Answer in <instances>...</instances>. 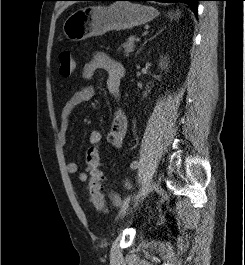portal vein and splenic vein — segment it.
Wrapping results in <instances>:
<instances>
[{"label": "portal vein and splenic vein", "instance_id": "18ae733b", "mask_svg": "<svg viewBox=\"0 0 245 265\" xmlns=\"http://www.w3.org/2000/svg\"><path fill=\"white\" fill-rule=\"evenodd\" d=\"M139 41H140V38H137V39H136V42H139Z\"/></svg>", "mask_w": 245, "mask_h": 265}]
</instances>
